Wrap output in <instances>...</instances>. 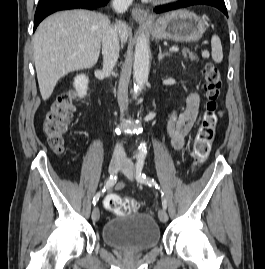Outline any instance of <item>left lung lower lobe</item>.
<instances>
[{
  "label": "left lung lower lobe",
  "mask_w": 265,
  "mask_h": 269,
  "mask_svg": "<svg viewBox=\"0 0 265 269\" xmlns=\"http://www.w3.org/2000/svg\"><path fill=\"white\" fill-rule=\"evenodd\" d=\"M192 5H210V6L216 7L217 9L221 10L228 17V13H227V9H226L224 0H185V1H183V2H181L178 5L173 6V7L157 9L156 12L163 13V12H168L171 10H176L179 8H185V7L192 6Z\"/></svg>",
  "instance_id": "left-lung-lower-lobe-1"
}]
</instances>
